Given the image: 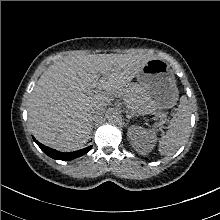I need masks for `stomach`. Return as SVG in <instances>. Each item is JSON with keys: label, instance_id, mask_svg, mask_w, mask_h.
<instances>
[{"label": "stomach", "instance_id": "1", "mask_svg": "<svg viewBox=\"0 0 220 220\" xmlns=\"http://www.w3.org/2000/svg\"><path fill=\"white\" fill-rule=\"evenodd\" d=\"M141 95L135 110L144 114L172 108L178 100L179 91L174 74L167 62L150 59L136 75Z\"/></svg>", "mask_w": 220, "mask_h": 220}]
</instances>
